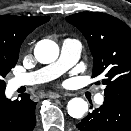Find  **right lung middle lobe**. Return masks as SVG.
Returning a JSON list of instances; mask_svg holds the SVG:
<instances>
[{
  "instance_id": "1",
  "label": "right lung middle lobe",
  "mask_w": 131,
  "mask_h": 131,
  "mask_svg": "<svg viewBox=\"0 0 131 131\" xmlns=\"http://www.w3.org/2000/svg\"><path fill=\"white\" fill-rule=\"evenodd\" d=\"M19 54L12 55L0 53V90H4L6 85L4 78L15 67Z\"/></svg>"
}]
</instances>
